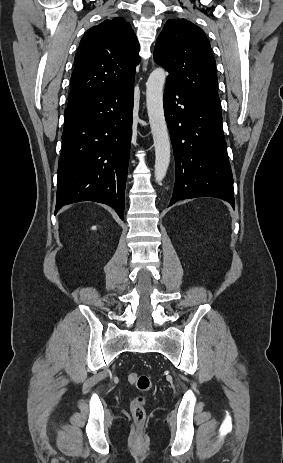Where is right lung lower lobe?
Listing matches in <instances>:
<instances>
[{
    "label": "right lung lower lobe",
    "instance_id": "right-lung-lower-lobe-1",
    "mask_svg": "<svg viewBox=\"0 0 283 463\" xmlns=\"http://www.w3.org/2000/svg\"><path fill=\"white\" fill-rule=\"evenodd\" d=\"M134 81L113 86L65 109L55 214L64 205L95 201L123 219Z\"/></svg>",
    "mask_w": 283,
    "mask_h": 463
}]
</instances>
